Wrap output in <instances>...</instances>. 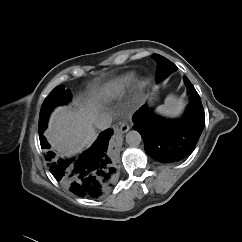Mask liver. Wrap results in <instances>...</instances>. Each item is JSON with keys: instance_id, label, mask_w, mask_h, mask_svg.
I'll use <instances>...</instances> for the list:
<instances>
[{"instance_id": "liver-1", "label": "liver", "mask_w": 242, "mask_h": 242, "mask_svg": "<svg viewBox=\"0 0 242 242\" xmlns=\"http://www.w3.org/2000/svg\"><path fill=\"white\" fill-rule=\"evenodd\" d=\"M100 113L97 103H76V107H58L49 119L45 136L62 156H72L89 146L95 136L94 120Z\"/></svg>"}]
</instances>
